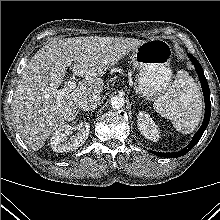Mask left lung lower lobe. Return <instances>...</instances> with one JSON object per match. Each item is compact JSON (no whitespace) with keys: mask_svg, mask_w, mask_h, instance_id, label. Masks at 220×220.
I'll use <instances>...</instances> for the list:
<instances>
[{"mask_svg":"<svg viewBox=\"0 0 220 220\" xmlns=\"http://www.w3.org/2000/svg\"><path fill=\"white\" fill-rule=\"evenodd\" d=\"M188 57L192 61V63L195 66V69L197 71L198 77L201 82L202 90H203V95H204V101H205V116L203 123L197 133L194 135L192 141L189 143L187 147H185L183 150L178 151V152H172V153H161V152H156V151H151L154 155L160 156V157H166V158H177L180 156H183L187 152H189L195 145L196 143L200 140L202 137L205 129L207 128L210 120V115H211V102H210V92H209V86L208 82L205 78L202 66L200 63L192 56L191 54H188Z\"/></svg>","mask_w":220,"mask_h":220,"instance_id":"left-lung-lower-lobe-1","label":"left lung lower lobe"}]
</instances>
